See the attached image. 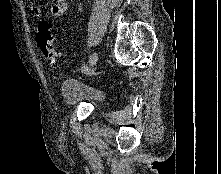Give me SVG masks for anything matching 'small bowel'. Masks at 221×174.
Here are the masks:
<instances>
[{
	"instance_id": "1",
	"label": "small bowel",
	"mask_w": 221,
	"mask_h": 174,
	"mask_svg": "<svg viewBox=\"0 0 221 174\" xmlns=\"http://www.w3.org/2000/svg\"><path fill=\"white\" fill-rule=\"evenodd\" d=\"M67 9V0H54L50 7V13L55 18H63ZM30 10L34 16H40L42 13V7L36 1L30 4Z\"/></svg>"
}]
</instances>
